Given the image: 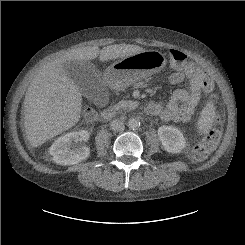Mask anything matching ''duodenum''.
<instances>
[{
    "mask_svg": "<svg viewBox=\"0 0 245 245\" xmlns=\"http://www.w3.org/2000/svg\"><path fill=\"white\" fill-rule=\"evenodd\" d=\"M116 82V80L114 79H109L108 80V84L109 85H114ZM154 108V104H148L147 109L148 110H152ZM117 116V112L115 110L112 109H104L102 112V118L104 120H112L114 118H116Z\"/></svg>",
    "mask_w": 245,
    "mask_h": 245,
    "instance_id": "duodenum-1",
    "label": "duodenum"
}]
</instances>
